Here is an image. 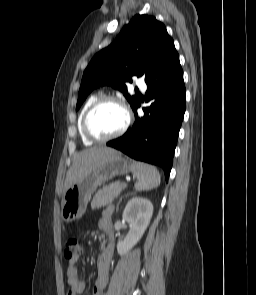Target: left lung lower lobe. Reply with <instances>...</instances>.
Instances as JSON below:
<instances>
[{"label": "left lung lower lobe", "mask_w": 256, "mask_h": 295, "mask_svg": "<svg viewBox=\"0 0 256 295\" xmlns=\"http://www.w3.org/2000/svg\"><path fill=\"white\" fill-rule=\"evenodd\" d=\"M145 100L151 105L144 108L139 118L137 108H132L135 123L132 128L107 146L116 148L128 156L161 166L166 181L172 168L174 151L185 113V86L180 62L147 83Z\"/></svg>", "instance_id": "1"}]
</instances>
